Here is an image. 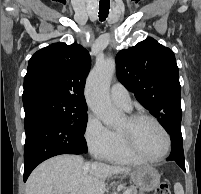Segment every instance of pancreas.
I'll use <instances>...</instances> for the list:
<instances>
[{
    "mask_svg": "<svg viewBox=\"0 0 201 194\" xmlns=\"http://www.w3.org/2000/svg\"><path fill=\"white\" fill-rule=\"evenodd\" d=\"M128 190H129V194H143L141 192H138L137 189L134 187H130L128 188Z\"/></svg>",
    "mask_w": 201,
    "mask_h": 194,
    "instance_id": "obj_1",
    "label": "pancreas"
}]
</instances>
